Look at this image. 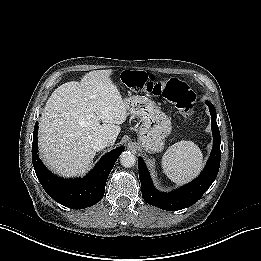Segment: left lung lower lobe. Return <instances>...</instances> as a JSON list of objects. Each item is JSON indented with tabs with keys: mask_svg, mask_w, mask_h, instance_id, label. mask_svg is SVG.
I'll return each mask as SVG.
<instances>
[{
	"mask_svg": "<svg viewBox=\"0 0 261 261\" xmlns=\"http://www.w3.org/2000/svg\"><path fill=\"white\" fill-rule=\"evenodd\" d=\"M211 114V128L213 132V148L203 172L191 183L170 193L158 192L152 184L150 175L141 157L138 159L139 178L142 187L143 199L156 207L168 211H176L187 208L196 203L215 180L220 166L221 137L216 122L214 108L206 101Z\"/></svg>",
	"mask_w": 261,
	"mask_h": 261,
	"instance_id": "obj_1",
	"label": "left lung lower lobe"
}]
</instances>
